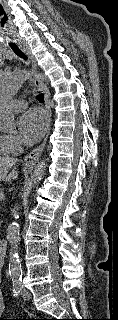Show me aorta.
Segmentation results:
<instances>
[{"instance_id": "1", "label": "aorta", "mask_w": 118, "mask_h": 320, "mask_svg": "<svg viewBox=\"0 0 118 320\" xmlns=\"http://www.w3.org/2000/svg\"><path fill=\"white\" fill-rule=\"evenodd\" d=\"M38 76L46 80L47 78L38 73ZM29 78V73L25 70H14L7 72L0 77V130L11 131L16 128L17 119L9 108L8 102L15 95L19 87ZM46 161L41 160L36 165L31 177V188H34L44 176ZM6 238L10 245L9 253V274L14 280L22 277L21 260L18 254L20 243V225L12 222L6 231Z\"/></svg>"}]
</instances>
